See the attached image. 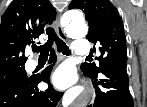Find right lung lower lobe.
Listing matches in <instances>:
<instances>
[{
  "label": "right lung lower lobe",
  "instance_id": "98d812e1",
  "mask_svg": "<svg viewBox=\"0 0 147 107\" xmlns=\"http://www.w3.org/2000/svg\"><path fill=\"white\" fill-rule=\"evenodd\" d=\"M55 61L56 55L52 52L50 62ZM51 70L52 66H49L41 75L1 88L0 107H55L63 93L55 91L51 85L46 91H39L37 88L41 81L49 82Z\"/></svg>",
  "mask_w": 147,
  "mask_h": 107
}]
</instances>
